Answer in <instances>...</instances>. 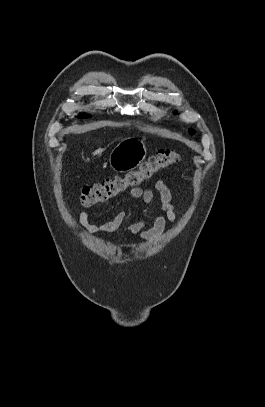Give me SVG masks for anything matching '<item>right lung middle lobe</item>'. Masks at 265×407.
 Listing matches in <instances>:
<instances>
[{
  "label": "right lung middle lobe",
  "instance_id": "right-lung-middle-lobe-1",
  "mask_svg": "<svg viewBox=\"0 0 265 407\" xmlns=\"http://www.w3.org/2000/svg\"><path fill=\"white\" fill-rule=\"evenodd\" d=\"M81 116H82L83 118H88V117H90L89 115H86V114H81Z\"/></svg>",
  "mask_w": 265,
  "mask_h": 407
}]
</instances>
